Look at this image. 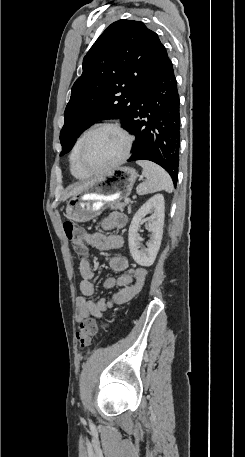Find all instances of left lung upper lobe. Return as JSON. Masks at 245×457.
I'll return each mask as SVG.
<instances>
[{"mask_svg": "<svg viewBox=\"0 0 245 457\" xmlns=\"http://www.w3.org/2000/svg\"><path fill=\"white\" fill-rule=\"evenodd\" d=\"M160 43L155 32L133 20L116 21L100 35L72 87L60 132V156L96 121L119 118L123 127L127 125Z\"/></svg>", "mask_w": 245, "mask_h": 457, "instance_id": "1", "label": "left lung upper lobe"}]
</instances>
